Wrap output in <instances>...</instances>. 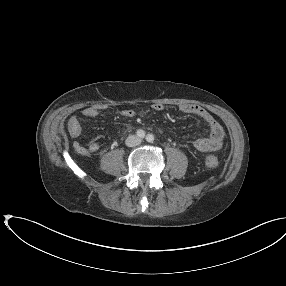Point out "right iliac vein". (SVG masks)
I'll return each instance as SVG.
<instances>
[{
	"label": "right iliac vein",
	"mask_w": 286,
	"mask_h": 286,
	"mask_svg": "<svg viewBox=\"0 0 286 286\" xmlns=\"http://www.w3.org/2000/svg\"><path fill=\"white\" fill-rule=\"evenodd\" d=\"M135 142V138L134 137H129L126 141L127 145H132Z\"/></svg>",
	"instance_id": "obj_1"
}]
</instances>
